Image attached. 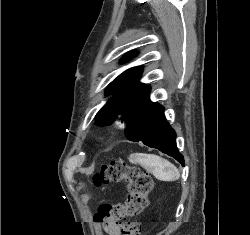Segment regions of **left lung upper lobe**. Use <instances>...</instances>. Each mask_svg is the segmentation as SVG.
<instances>
[{"mask_svg":"<svg viewBox=\"0 0 250 235\" xmlns=\"http://www.w3.org/2000/svg\"><path fill=\"white\" fill-rule=\"evenodd\" d=\"M136 55V52L128 53L124 61ZM142 73V67H134L119 75L106 89V94L118 92V95L109 100L96 115V123L99 125H109L114 122L117 116L126 122L129 111L133 103L141 95L146 84L138 83Z\"/></svg>","mask_w":250,"mask_h":235,"instance_id":"5c2ea615","label":"left lung upper lobe"}]
</instances>
